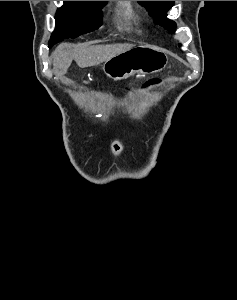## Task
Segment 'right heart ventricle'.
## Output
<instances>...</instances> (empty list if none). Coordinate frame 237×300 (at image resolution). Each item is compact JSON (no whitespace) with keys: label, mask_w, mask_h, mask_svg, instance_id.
I'll return each mask as SVG.
<instances>
[{"label":"right heart ventricle","mask_w":237,"mask_h":300,"mask_svg":"<svg viewBox=\"0 0 237 300\" xmlns=\"http://www.w3.org/2000/svg\"><path fill=\"white\" fill-rule=\"evenodd\" d=\"M120 19L124 21H131L136 16V10L132 1H117Z\"/></svg>","instance_id":"e07e8e85"}]
</instances>
